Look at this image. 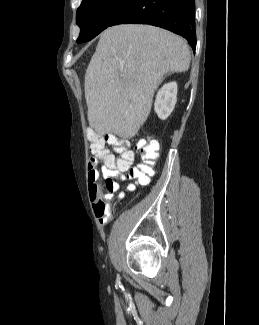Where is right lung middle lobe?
Returning <instances> with one entry per match:
<instances>
[{"instance_id": "1", "label": "right lung middle lobe", "mask_w": 259, "mask_h": 325, "mask_svg": "<svg viewBox=\"0 0 259 325\" xmlns=\"http://www.w3.org/2000/svg\"><path fill=\"white\" fill-rule=\"evenodd\" d=\"M127 0H82L76 22L80 27L78 43L93 39L106 29Z\"/></svg>"}]
</instances>
